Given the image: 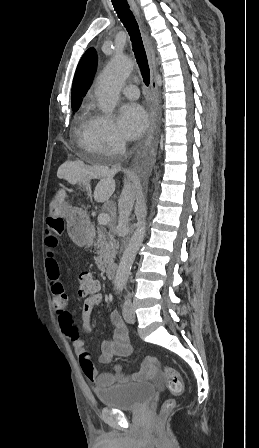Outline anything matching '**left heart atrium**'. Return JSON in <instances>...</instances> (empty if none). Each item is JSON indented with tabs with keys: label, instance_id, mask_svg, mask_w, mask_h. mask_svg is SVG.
<instances>
[{
	"label": "left heart atrium",
	"instance_id": "39dd6f15",
	"mask_svg": "<svg viewBox=\"0 0 259 448\" xmlns=\"http://www.w3.org/2000/svg\"><path fill=\"white\" fill-rule=\"evenodd\" d=\"M118 123L123 136L135 140L147 127V115L138 103H127L120 109Z\"/></svg>",
	"mask_w": 259,
	"mask_h": 448
}]
</instances>
